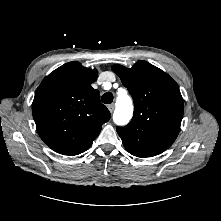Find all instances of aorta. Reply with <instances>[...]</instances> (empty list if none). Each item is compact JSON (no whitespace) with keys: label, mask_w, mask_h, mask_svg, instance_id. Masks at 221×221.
<instances>
[{"label":"aorta","mask_w":221,"mask_h":221,"mask_svg":"<svg viewBox=\"0 0 221 221\" xmlns=\"http://www.w3.org/2000/svg\"><path fill=\"white\" fill-rule=\"evenodd\" d=\"M133 115L132 100L128 95L117 97L113 120L117 125H126Z\"/></svg>","instance_id":"aorta-1"}]
</instances>
